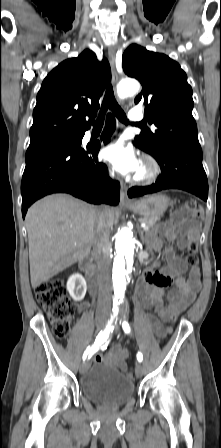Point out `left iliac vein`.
Masks as SVG:
<instances>
[{
	"instance_id": "4c4485c4",
	"label": "left iliac vein",
	"mask_w": 221,
	"mask_h": 448,
	"mask_svg": "<svg viewBox=\"0 0 221 448\" xmlns=\"http://www.w3.org/2000/svg\"><path fill=\"white\" fill-rule=\"evenodd\" d=\"M118 327L116 326V329H117ZM135 374H136V376L137 377H141L142 376V374H143V367H142V364L141 363H137L136 364V367H135Z\"/></svg>"
}]
</instances>
